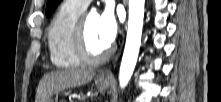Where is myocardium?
I'll use <instances>...</instances> for the list:
<instances>
[{"label":"myocardium","instance_id":"obj_1","mask_svg":"<svg viewBox=\"0 0 221 102\" xmlns=\"http://www.w3.org/2000/svg\"><path fill=\"white\" fill-rule=\"evenodd\" d=\"M86 16V14H82L77 22L74 33V48L82 63L88 65H97L104 62L110 56L112 48L111 46H108L99 54H93L90 52L86 39Z\"/></svg>","mask_w":221,"mask_h":102}]
</instances>
